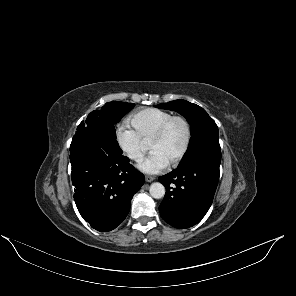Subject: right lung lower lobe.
Wrapping results in <instances>:
<instances>
[{
	"instance_id": "obj_1",
	"label": "right lung lower lobe",
	"mask_w": 296,
	"mask_h": 296,
	"mask_svg": "<svg viewBox=\"0 0 296 296\" xmlns=\"http://www.w3.org/2000/svg\"><path fill=\"white\" fill-rule=\"evenodd\" d=\"M70 161L79 213L98 231L115 229L126 218L144 175L122 155L116 140L92 129L77 130Z\"/></svg>"
}]
</instances>
